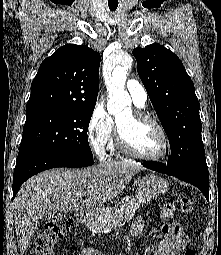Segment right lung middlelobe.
<instances>
[{
  "instance_id": "right-lung-middle-lobe-1",
  "label": "right lung middle lobe",
  "mask_w": 221,
  "mask_h": 255,
  "mask_svg": "<svg viewBox=\"0 0 221 255\" xmlns=\"http://www.w3.org/2000/svg\"><path fill=\"white\" fill-rule=\"evenodd\" d=\"M94 107L43 108L26 112L19 150L32 148L93 159L87 131Z\"/></svg>"
}]
</instances>
